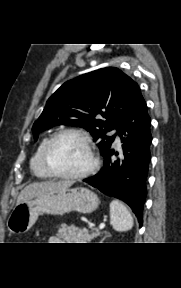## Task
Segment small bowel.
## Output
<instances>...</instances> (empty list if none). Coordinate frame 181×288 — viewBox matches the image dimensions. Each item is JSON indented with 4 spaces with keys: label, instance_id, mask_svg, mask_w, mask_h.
<instances>
[{
    "label": "small bowel",
    "instance_id": "small-bowel-1",
    "mask_svg": "<svg viewBox=\"0 0 181 288\" xmlns=\"http://www.w3.org/2000/svg\"><path fill=\"white\" fill-rule=\"evenodd\" d=\"M51 241H52V242H57L58 239H57L56 237H51Z\"/></svg>",
    "mask_w": 181,
    "mask_h": 288
}]
</instances>
